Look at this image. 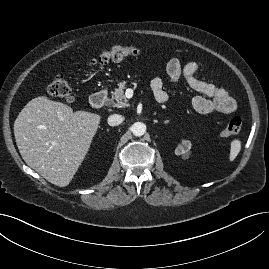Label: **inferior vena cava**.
<instances>
[{"instance_id":"602c4592","label":"inferior vena cava","mask_w":269,"mask_h":269,"mask_svg":"<svg viewBox=\"0 0 269 269\" xmlns=\"http://www.w3.org/2000/svg\"><path fill=\"white\" fill-rule=\"evenodd\" d=\"M108 125L117 126L124 121V117L122 115L113 114L108 117Z\"/></svg>"}]
</instances>
